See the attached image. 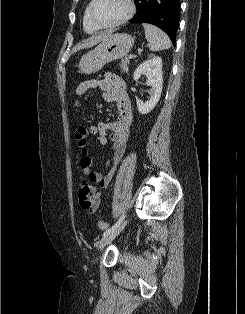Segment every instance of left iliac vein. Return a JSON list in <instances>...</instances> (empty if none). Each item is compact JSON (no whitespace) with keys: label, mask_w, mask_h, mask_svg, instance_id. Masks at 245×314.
I'll return each mask as SVG.
<instances>
[{"label":"left iliac vein","mask_w":245,"mask_h":314,"mask_svg":"<svg viewBox=\"0 0 245 314\" xmlns=\"http://www.w3.org/2000/svg\"><path fill=\"white\" fill-rule=\"evenodd\" d=\"M126 221H122L116 229L103 236L102 239L98 242V250L104 248L108 243H110L125 227Z\"/></svg>","instance_id":"4c4485c4"}]
</instances>
